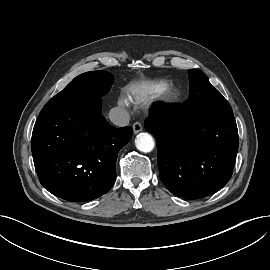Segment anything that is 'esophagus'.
Here are the masks:
<instances>
[{
	"mask_svg": "<svg viewBox=\"0 0 270 270\" xmlns=\"http://www.w3.org/2000/svg\"><path fill=\"white\" fill-rule=\"evenodd\" d=\"M134 134H138L143 130V126L140 122H135L132 126Z\"/></svg>",
	"mask_w": 270,
	"mask_h": 270,
	"instance_id": "esophagus-1",
	"label": "esophagus"
}]
</instances>
